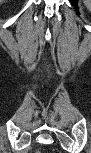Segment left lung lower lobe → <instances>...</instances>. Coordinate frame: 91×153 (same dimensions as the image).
Returning <instances> with one entry per match:
<instances>
[{
  "label": "left lung lower lobe",
  "instance_id": "1",
  "mask_svg": "<svg viewBox=\"0 0 91 153\" xmlns=\"http://www.w3.org/2000/svg\"><path fill=\"white\" fill-rule=\"evenodd\" d=\"M77 1L78 0H70V2L75 6L76 10H77V6H76Z\"/></svg>",
  "mask_w": 91,
  "mask_h": 153
}]
</instances>
